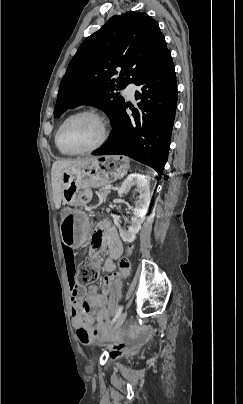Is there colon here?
Returning <instances> with one entry per match:
<instances>
[{
  "instance_id": "5ec220e1",
  "label": "colon",
  "mask_w": 243,
  "mask_h": 404,
  "mask_svg": "<svg viewBox=\"0 0 243 404\" xmlns=\"http://www.w3.org/2000/svg\"><path fill=\"white\" fill-rule=\"evenodd\" d=\"M121 272L126 275L129 268V262L127 259H122L120 263ZM98 279V272L94 265L88 261H83L78 265L77 280L81 284L93 283ZM114 275H109L105 277L103 282V292L109 295L112 292L114 283ZM139 345V342L132 340L116 341L113 342L111 347L117 354L123 350L129 349L133 350Z\"/></svg>"
}]
</instances>
